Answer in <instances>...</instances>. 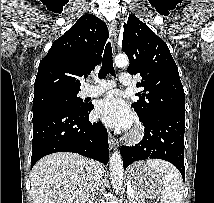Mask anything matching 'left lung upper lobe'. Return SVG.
Instances as JSON below:
<instances>
[{"instance_id":"5c2ea615","label":"left lung upper lobe","mask_w":214,"mask_h":203,"mask_svg":"<svg viewBox=\"0 0 214 203\" xmlns=\"http://www.w3.org/2000/svg\"><path fill=\"white\" fill-rule=\"evenodd\" d=\"M122 50L130 58L127 72L142 78L137 86L144 91L132 104L139 118L161 111L185 112L184 89L167 44L134 15L124 24Z\"/></svg>"}]
</instances>
